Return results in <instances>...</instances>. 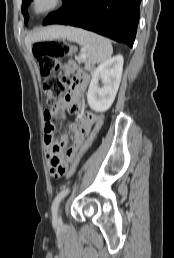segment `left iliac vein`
Instances as JSON below:
<instances>
[{
	"instance_id": "1",
	"label": "left iliac vein",
	"mask_w": 174,
	"mask_h": 258,
	"mask_svg": "<svg viewBox=\"0 0 174 258\" xmlns=\"http://www.w3.org/2000/svg\"><path fill=\"white\" fill-rule=\"evenodd\" d=\"M58 224H61L62 223V217H61V214L59 215L58 217V221H57Z\"/></svg>"
}]
</instances>
